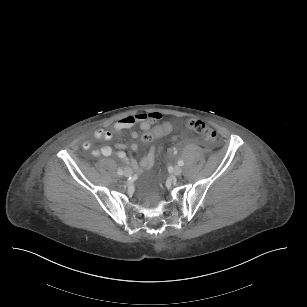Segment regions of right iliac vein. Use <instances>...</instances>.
Returning <instances> with one entry per match:
<instances>
[{
    "mask_svg": "<svg viewBox=\"0 0 307 307\" xmlns=\"http://www.w3.org/2000/svg\"><path fill=\"white\" fill-rule=\"evenodd\" d=\"M132 174H133V171H132L131 168H126V169H125L124 175H125L126 177H130V176H132Z\"/></svg>",
    "mask_w": 307,
    "mask_h": 307,
    "instance_id": "right-iliac-vein-1",
    "label": "right iliac vein"
}]
</instances>
